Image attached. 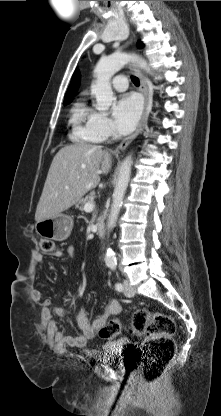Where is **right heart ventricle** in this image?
Here are the masks:
<instances>
[{
	"label": "right heart ventricle",
	"instance_id": "right-heart-ventricle-1",
	"mask_svg": "<svg viewBox=\"0 0 221 416\" xmlns=\"http://www.w3.org/2000/svg\"><path fill=\"white\" fill-rule=\"evenodd\" d=\"M90 111L91 110L83 102L75 103L72 108L71 123L73 125L74 138L76 141L85 143H94L98 141L87 126Z\"/></svg>",
	"mask_w": 221,
	"mask_h": 416
}]
</instances>
